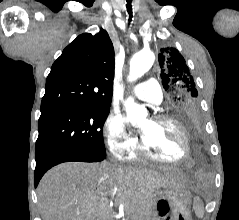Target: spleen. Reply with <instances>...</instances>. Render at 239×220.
I'll list each match as a JSON object with an SVG mask.
<instances>
[{"label":"spleen","mask_w":239,"mask_h":220,"mask_svg":"<svg viewBox=\"0 0 239 220\" xmlns=\"http://www.w3.org/2000/svg\"><path fill=\"white\" fill-rule=\"evenodd\" d=\"M193 208L195 210L196 216L199 218H202L204 215V208H203V203L198 197L194 199Z\"/></svg>","instance_id":"spleen-1"}]
</instances>
